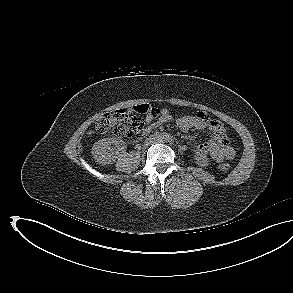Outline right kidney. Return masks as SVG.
<instances>
[{
	"label": "right kidney",
	"mask_w": 293,
	"mask_h": 293,
	"mask_svg": "<svg viewBox=\"0 0 293 293\" xmlns=\"http://www.w3.org/2000/svg\"><path fill=\"white\" fill-rule=\"evenodd\" d=\"M125 148L123 141L116 138H105L94 143L91 153L98 164L108 165L116 161V152Z\"/></svg>",
	"instance_id": "right-kidney-1"
}]
</instances>
